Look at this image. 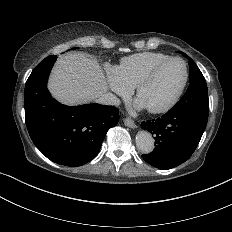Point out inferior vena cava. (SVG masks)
<instances>
[{
    "label": "inferior vena cava",
    "mask_w": 232,
    "mask_h": 232,
    "mask_svg": "<svg viewBox=\"0 0 232 232\" xmlns=\"http://www.w3.org/2000/svg\"><path fill=\"white\" fill-rule=\"evenodd\" d=\"M97 102L103 105L118 106L120 104V100L112 93H104L98 98Z\"/></svg>",
    "instance_id": "602c4592"
}]
</instances>
